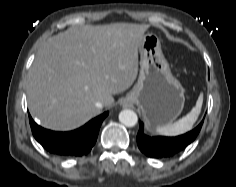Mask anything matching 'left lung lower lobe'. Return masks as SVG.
Masks as SVG:
<instances>
[{
	"instance_id": "1",
	"label": "left lung lower lobe",
	"mask_w": 236,
	"mask_h": 187,
	"mask_svg": "<svg viewBox=\"0 0 236 187\" xmlns=\"http://www.w3.org/2000/svg\"><path fill=\"white\" fill-rule=\"evenodd\" d=\"M203 121L192 131L177 137H149L143 133V123L139 121L137 144L141 152L150 158L171 157L185 149L199 134Z\"/></svg>"
}]
</instances>
